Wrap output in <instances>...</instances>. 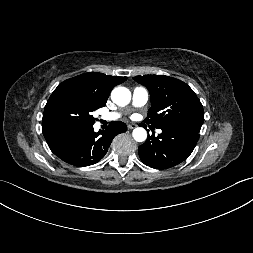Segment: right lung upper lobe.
I'll list each match as a JSON object with an SVG mask.
<instances>
[{
    "instance_id": "right-lung-upper-lobe-1",
    "label": "right lung upper lobe",
    "mask_w": 253,
    "mask_h": 253,
    "mask_svg": "<svg viewBox=\"0 0 253 253\" xmlns=\"http://www.w3.org/2000/svg\"><path fill=\"white\" fill-rule=\"evenodd\" d=\"M98 102L106 104L111 90L127 80V77L108 76L103 73L90 72L70 78Z\"/></svg>"
}]
</instances>
